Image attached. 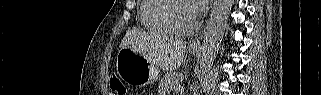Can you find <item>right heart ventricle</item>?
<instances>
[{
    "mask_svg": "<svg viewBox=\"0 0 321 95\" xmlns=\"http://www.w3.org/2000/svg\"><path fill=\"white\" fill-rule=\"evenodd\" d=\"M168 0H143L140 5V20L151 33L168 35L172 32L162 20V10Z\"/></svg>",
    "mask_w": 321,
    "mask_h": 95,
    "instance_id": "obj_1",
    "label": "right heart ventricle"
}]
</instances>
